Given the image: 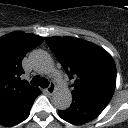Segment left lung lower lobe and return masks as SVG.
I'll return each instance as SVG.
<instances>
[{"instance_id": "left-lung-lower-lobe-1", "label": "left lung lower lobe", "mask_w": 128, "mask_h": 128, "mask_svg": "<svg viewBox=\"0 0 128 128\" xmlns=\"http://www.w3.org/2000/svg\"><path fill=\"white\" fill-rule=\"evenodd\" d=\"M109 102L94 99L73 98V103L65 111H58L64 120L80 125L96 118Z\"/></svg>"}]
</instances>
